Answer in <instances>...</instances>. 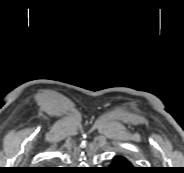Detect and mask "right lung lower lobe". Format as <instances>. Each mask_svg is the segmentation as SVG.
I'll list each match as a JSON object with an SVG mask.
<instances>
[{
	"instance_id": "obj_1",
	"label": "right lung lower lobe",
	"mask_w": 184,
	"mask_h": 173,
	"mask_svg": "<svg viewBox=\"0 0 184 173\" xmlns=\"http://www.w3.org/2000/svg\"><path fill=\"white\" fill-rule=\"evenodd\" d=\"M46 173H59L61 172V170H57V169H50V170H46Z\"/></svg>"
}]
</instances>
